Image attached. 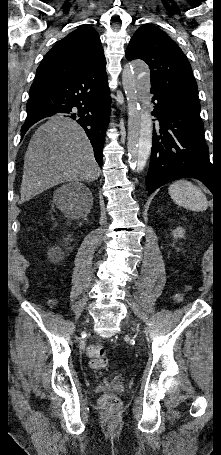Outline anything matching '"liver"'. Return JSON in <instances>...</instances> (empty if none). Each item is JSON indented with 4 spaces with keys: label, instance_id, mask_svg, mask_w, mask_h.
I'll return each instance as SVG.
<instances>
[{
    "label": "liver",
    "instance_id": "1",
    "mask_svg": "<svg viewBox=\"0 0 221 455\" xmlns=\"http://www.w3.org/2000/svg\"><path fill=\"white\" fill-rule=\"evenodd\" d=\"M92 145L82 127L67 117H52L32 136L24 158L20 203L64 182L100 176Z\"/></svg>",
    "mask_w": 221,
    "mask_h": 455
}]
</instances>
